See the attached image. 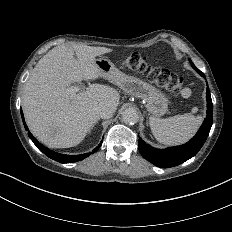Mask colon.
<instances>
[{"mask_svg":"<svg viewBox=\"0 0 232 232\" xmlns=\"http://www.w3.org/2000/svg\"><path fill=\"white\" fill-rule=\"evenodd\" d=\"M147 56H139L136 52H130L127 56H119L115 65L119 69L129 70L130 73H139L150 78L154 86H161L164 91L174 92L179 97H189L193 93L191 85L179 74L166 73L164 66L147 64Z\"/></svg>","mask_w":232,"mask_h":232,"instance_id":"5ec220e1","label":"colon"}]
</instances>
